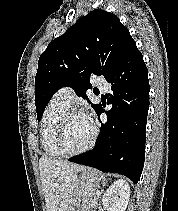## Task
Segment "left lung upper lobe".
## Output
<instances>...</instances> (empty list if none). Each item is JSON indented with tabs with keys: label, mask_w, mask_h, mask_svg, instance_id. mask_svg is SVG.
<instances>
[{
	"label": "left lung upper lobe",
	"mask_w": 178,
	"mask_h": 211,
	"mask_svg": "<svg viewBox=\"0 0 178 211\" xmlns=\"http://www.w3.org/2000/svg\"><path fill=\"white\" fill-rule=\"evenodd\" d=\"M135 46L129 30L116 15L96 9L80 18L51 41L39 58L35 77L38 120L57 90L70 86L84 95L91 74L107 78ZM92 107L97 111L100 105Z\"/></svg>",
	"instance_id": "5c2ea615"
}]
</instances>
